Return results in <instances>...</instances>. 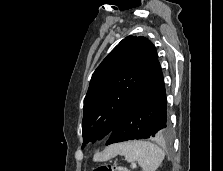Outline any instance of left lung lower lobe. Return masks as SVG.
I'll return each mask as SVG.
<instances>
[{
    "mask_svg": "<svg viewBox=\"0 0 223 171\" xmlns=\"http://www.w3.org/2000/svg\"><path fill=\"white\" fill-rule=\"evenodd\" d=\"M170 136L165 84L157 60L145 83L112 130L106 145L134 139L168 140Z\"/></svg>",
    "mask_w": 223,
    "mask_h": 171,
    "instance_id": "left-lung-lower-lobe-1",
    "label": "left lung lower lobe"
}]
</instances>
